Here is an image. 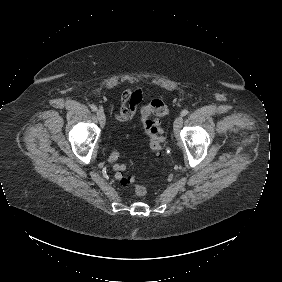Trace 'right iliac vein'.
Here are the masks:
<instances>
[{
  "instance_id": "right-iliac-vein-1",
  "label": "right iliac vein",
  "mask_w": 282,
  "mask_h": 282,
  "mask_svg": "<svg viewBox=\"0 0 282 282\" xmlns=\"http://www.w3.org/2000/svg\"><path fill=\"white\" fill-rule=\"evenodd\" d=\"M97 118L99 120V123L104 126L106 122L105 114L102 110L97 111Z\"/></svg>"
}]
</instances>
